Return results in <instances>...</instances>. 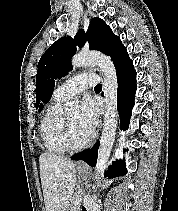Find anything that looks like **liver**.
<instances>
[{"label":"liver","instance_id":"liver-1","mask_svg":"<svg viewBox=\"0 0 178 211\" xmlns=\"http://www.w3.org/2000/svg\"><path fill=\"white\" fill-rule=\"evenodd\" d=\"M39 166L46 211H68L76 185L74 162L45 152L39 157Z\"/></svg>","mask_w":178,"mask_h":211}]
</instances>
